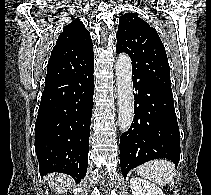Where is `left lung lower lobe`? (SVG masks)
<instances>
[{"label": "left lung lower lobe", "mask_w": 211, "mask_h": 195, "mask_svg": "<svg viewBox=\"0 0 211 195\" xmlns=\"http://www.w3.org/2000/svg\"><path fill=\"white\" fill-rule=\"evenodd\" d=\"M134 118L120 138V166L128 172L147 161L166 158L178 165L180 132L173 97L147 79L133 74Z\"/></svg>", "instance_id": "left-lung-lower-lobe-1"}]
</instances>
